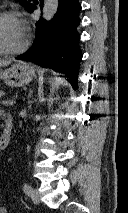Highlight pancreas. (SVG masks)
<instances>
[{"mask_svg": "<svg viewBox=\"0 0 128 213\" xmlns=\"http://www.w3.org/2000/svg\"><path fill=\"white\" fill-rule=\"evenodd\" d=\"M5 93L3 91H0V98L4 95ZM3 103V102H2ZM1 104V101H0Z\"/></svg>", "mask_w": 128, "mask_h": 213, "instance_id": "cf45deb5", "label": "pancreas"}]
</instances>
